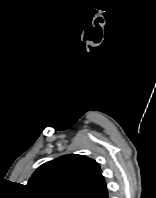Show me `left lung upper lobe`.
<instances>
[{
  "label": "left lung upper lobe",
  "instance_id": "1",
  "mask_svg": "<svg viewBox=\"0 0 156 198\" xmlns=\"http://www.w3.org/2000/svg\"><path fill=\"white\" fill-rule=\"evenodd\" d=\"M27 186L35 198H97L107 190L99 164L77 154L44 163Z\"/></svg>",
  "mask_w": 156,
  "mask_h": 198
}]
</instances>
